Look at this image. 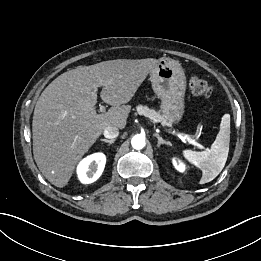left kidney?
<instances>
[{
    "label": "left kidney",
    "mask_w": 261,
    "mask_h": 261,
    "mask_svg": "<svg viewBox=\"0 0 261 261\" xmlns=\"http://www.w3.org/2000/svg\"><path fill=\"white\" fill-rule=\"evenodd\" d=\"M173 165L179 172H184L186 167L181 161H177L176 159H173Z\"/></svg>",
    "instance_id": "5707ae66"
}]
</instances>
